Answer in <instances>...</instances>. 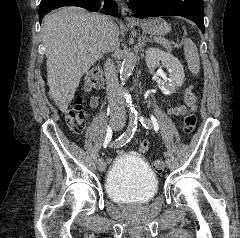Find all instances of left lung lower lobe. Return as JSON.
<instances>
[{
  "mask_svg": "<svg viewBox=\"0 0 240 238\" xmlns=\"http://www.w3.org/2000/svg\"><path fill=\"white\" fill-rule=\"evenodd\" d=\"M138 18L154 16H182L192 20L204 33L202 0H130L127 3Z\"/></svg>",
  "mask_w": 240,
  "mask_h": 238,
  "instance_id": "1",
  "label": "left lung lower lobe"
}]
</instances>
